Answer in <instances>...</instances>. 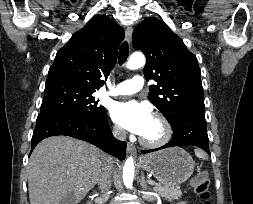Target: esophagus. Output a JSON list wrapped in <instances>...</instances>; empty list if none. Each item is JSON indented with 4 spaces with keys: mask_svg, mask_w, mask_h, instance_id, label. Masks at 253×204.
Wrapping results in <instances>:
<instances>
[{
    "mask_svg": "<svg viewBox=\"0 0 253 204\" xmlns=\"http://www.w3.org/2000/svg\"><path fill=\"white\" fill-rule=\"evenodd\" d=\"M132 32H133L132 26H128V27L126 28V32H125L126 40H127L128 42L131 41ZM127 151H128V153H130V154H135V147H134V145L131 144V143H127Z\"/></svg>",
    "mask_w": 253,
    "mask_h": 204,
    "instance_id": "obj_1",
    "label": "esophagus"
}]
</instances>
